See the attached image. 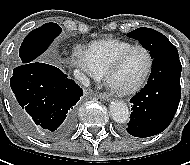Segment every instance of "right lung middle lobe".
I'll use <instances>...</instances> for the list:
<instances>
[{
    "label": "right lung middle lobe",
    "instance_id": "obj_1",
    "mask_svg": "<svg viewBox=\"0 0 190 165\" xmlns=\"http://www.w3.org/2000/svg\"><path fill=\"white\" fill-rule=\"evenodd\" d=\"M61 28L56 23H46L31 31L24 39L19 49L21 64L36 61L51 44V42L61 33Z\"/></svg>",
    "mask_w": 190,
    "mask_h": 165
}]
</instances>
